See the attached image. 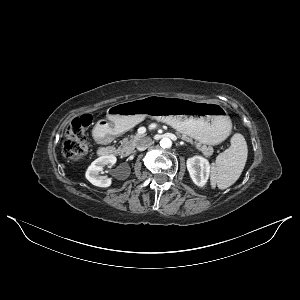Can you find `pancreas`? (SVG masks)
<instances>
[{
	"instance_id": "obj_1",
	"label": "pancreas",
	"mask_w": 300,
	"mask_h": 300,
	"mask_svg": "<svg viewBox=\"0 0 300 300\" xmlns=\"http://www.w3.org/2000/svg\"><path fill=\"white\" fill-rule=\"evenodd\" d=\"M180 138L183 140L193 143L192 138L186 136V135H181L177 133ZM144 135H130V137H126L121 141V147L119 149L121 154H130L132 150L139 144V141ZM196 148L200 150L206 157H210L213 154V148L211 146H206L202 145L201 143H196Z\"/></svg>"
}]
</instances>
